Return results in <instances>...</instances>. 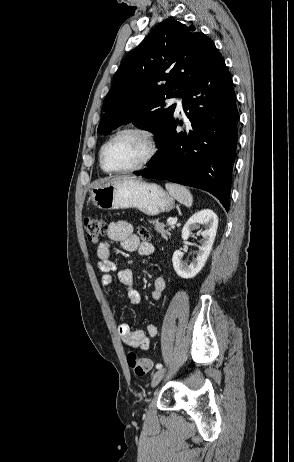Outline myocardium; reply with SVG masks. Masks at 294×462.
Returning <instances> with one entry per match:
<instances>
[{
  "label": "myocardium",
  "instance_id": "obj_1",
  "mask_svg": "<svg viewBox=\"0 0 294 462\" xmlns=\"http://www.w3.org/2000/svg\"><path fill=\"white\" fill-rule=\"evenodd\" d=\"M126 133H135L141 135L148 144V152L146 156L136 165L124 169L110 170L104 165V153L106 147L113 142L117 137ZM159 145L155 133L149 128L143 126H127L116 131L101 147L99 152V162L101 169L110 174H123L140 171L146 168L157 156Z\"/></svg>",
  "mask_w": 294,
  "mask_h": 462
}]
</instances>
